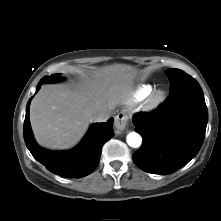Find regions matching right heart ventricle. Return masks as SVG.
<instances>
[{"mask_svg": "<svg viewBox=\"0 0 221 221\" xmlns=\"http://www.w3.org/2000/svg\"><path fill=\"white\" fill-rule=\"evenodd\" d=\"M153 90V87L149 84H143V85H140L135 93H134V97L135 99L137 100H142L144 99L145 97H147Z\"/></svg>", "mask_w": 221, "mask_h": 221, "instance_id": "right-heart-ventricle-1", "label": "right heart ventricle"}]
</instances>
